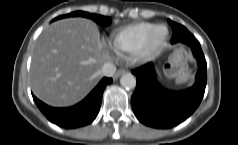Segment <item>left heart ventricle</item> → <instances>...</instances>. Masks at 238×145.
Wrapping results in <instances>:
<instances>
[{
    "label": "left heart ventricle",
    "mask_w": 238,
    "mask_h": 145,
    "mask_svg": "<svg viewBox=\"0 0 238 145\" xmlns=\"http://www.w3.org/2000/svg\"><path fill=\"white\" fill-rule=\"evenodd\" d=\"M164 31L163 30H159L158 31V37H161L163 35Z\"/></svg>",
    "instance_id": "obj_1"
}]
</instances>
